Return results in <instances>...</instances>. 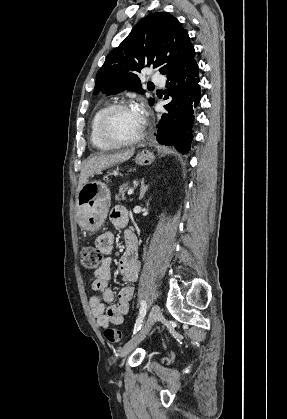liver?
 Here are the masks:
<instances>
[{
    "mask_svg": "<svg viewBox=\"0 0 287 419\" xmlns=\"http://www.w3.org/2000/svg\"><path fill=\"white\" fill-rule=\"evenodd\" d=\"M134 154V149L125 150L118 153L113 154H97L95 156L89 157L87 160L84 161L80 177H79V184L77 191L82 188L83 184L87 182L90 176H93L97 172L110 168L118 163L124 162L130 159Z\"/></svg>",
    "mask_w": 287,
    "mask_h": 419,
    "instance_id": "6515ba94",
    "label": "liver"
}]
</instances>
